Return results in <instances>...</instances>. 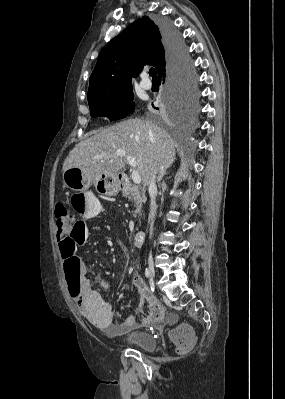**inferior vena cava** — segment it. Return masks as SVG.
Instances as JSON below:
<instances>
[{
  "mask_svg": "<svg viewBox=\"0 0 285 399\" xmlns=\"http://www.w3.org/2000/svg\"><path fill=\"white\" fill-rule=\"evenodd\" d=\"M156 173L154 172L151 176V179L148 184V192L150 196V213H149V221H150V237L152 236L153 233V225H154V219L156 216V209H157V204H156V193H157V187H156Z\"/></svg>",
  "mask_w": 285,
  "mask_h": 399,
  "instance_id": "1",
  "label": "inferior vena cava"
}]
</instances>
